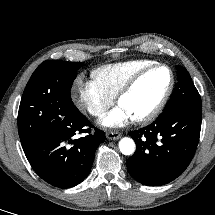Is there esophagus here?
Instances as JSON below:
<instances>
[{"label": "esophagus", "instance_id": "obj_1", "mask_svg": "<svg viewBox=\"0 0 215 215\" xmlns=\"http://www.w3.org/2000/svg\"><path fill=\"white\" fill-rule=\"evenodd\" d=\"M121 136H122L121 133L116 132V131L106 133V137L111 140H117V139L121 138Z\"/></svg>", "mask_w": 215, "mask_h": 215}]
</instances>
